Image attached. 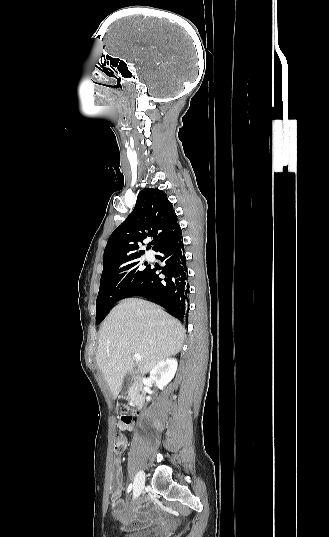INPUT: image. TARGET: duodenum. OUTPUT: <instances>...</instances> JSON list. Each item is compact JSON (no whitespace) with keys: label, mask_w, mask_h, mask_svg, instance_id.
Wrapping results in <instances>:
<instances>
[{"label":"duodenum","mask_w":329,"mask_h":537,"mask_svg":"<svg viewBox=\"0 0 329 537\" xmlns=\"http://www.w3.org/2000/svg\"><path fill=\"white\" fill-rule=\"evenodd\" d=\"M145 400V388L142 378L135 377L133 379V398L132 405L134 414H138Z\"/></svg>","instance_id":"obj_1"}]
</instances>
